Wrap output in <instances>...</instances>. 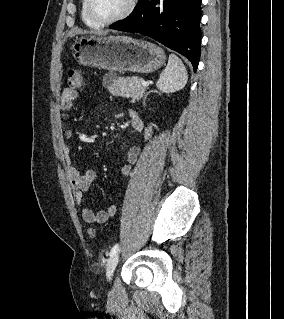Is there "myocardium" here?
I'll use <instances>...</instances> for the list:
<instances>
[{
    "label": "myocardium",
    "mask_w": 284,
    "mask_h": 319,
    "mask_svg": "<svg viewBox=\"0 0 284 319\" xmlns=\"http://www.w3.org/2000/svg\"><path fill=\"white\" fill-rule=\"evenodd\" d=\"M136 3H137V0H128L125 9L117 16H115L111 19H108V20L100 19L94 14V12L92 10V0H86L85 8H86V13H87L88 17L93 22H95L96 24H98L100 26H108V25H112L114 23L120 22V21L126 19L127 17H129L132 14V12L134 11V9L136 7Z\"/></svg>",
    "instance_id": "obj_1"
}]
</instances>
